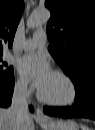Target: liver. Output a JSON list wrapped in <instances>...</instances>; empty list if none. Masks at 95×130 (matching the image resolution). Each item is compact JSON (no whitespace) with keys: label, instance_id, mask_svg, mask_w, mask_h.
<instances>
[{"label":"liver","instance_id":"obj_1","mask_svg":"<svg viewBox=\"0 0 95 130\" xmlns=\"http://www.w3.org/2000/svg\"><path fill=\"white\" fill-rule=\"evenodd\" d=\"M0 130H35V124L32 116L28 114L22 119L19 126H17L14 116L9 112V108H1Z\"/></svg>","mask_w":95,"mask_h":130}]
</instances>
